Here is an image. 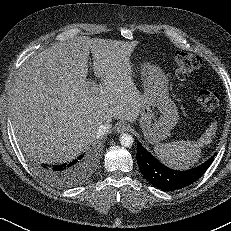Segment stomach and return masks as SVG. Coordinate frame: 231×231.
I'll use <instances>...</instances> for the list:
<instances>
[{
	"mask_svg": "<svg viewBox=\"0 0 231 231\" xmlns=\"http://www.w3.org/2000/svg\"><path fill=\"white\" fill-rule=\"evenodd\" d=\"M143 105L139 114V126L145 140L156 144L170 136L177 124V106L169 96V79L157 65L148 62L141 65Z\"/></svg>",
	"mask_w": 231,
	"mask_h": 231,
	"instance_id": "0dacf381",
	"label": "stomach"
}]
</instances>
